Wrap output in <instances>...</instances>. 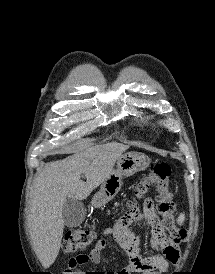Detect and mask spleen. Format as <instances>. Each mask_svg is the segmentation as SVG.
I'll return each instance as SVG.
<instances>
[{
  "label": "spleen",
  "instance_id": "3e777b00",
  "mask_svg": "<svg viewBox=\"0 0 215 274\" xmlns=\"http://www.w3.org/2000/svg\"><path fill=\"white\" fill-rule=\"evenodd\" d=\"M184 219V215H180L178 222H182Z\"/></svg>",
  "mask_w": 215,
  "mask_h": 274
}]
</instances>
